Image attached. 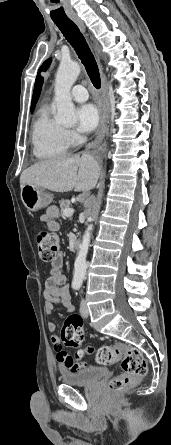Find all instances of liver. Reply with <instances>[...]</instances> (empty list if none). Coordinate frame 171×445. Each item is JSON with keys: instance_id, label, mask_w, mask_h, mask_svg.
Returning <instances> with one entry per match:
<instances>
[{"instance_id": "liver-1", "label": "liver", "mask_w": 171, "mask_h": 445, "mask_svg": "<svg viewBox=\"0 0 171 445\" xmlns=\"http://www.w3.org/2000/svg\"><path fill=\"white\" fill-rule=\"evenodd\" d=\"M99 178V165L89 154L60 156L38 162L20 176V187L32 184L53 192H86Z\"/></svg>"}]
</instances>
